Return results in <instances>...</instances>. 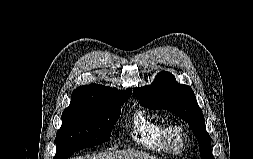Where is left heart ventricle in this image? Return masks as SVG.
<instances>
[{
    "mask_svg": "<svg viewBox=\"0 0 253 159\" xmlns=\"http://www.w3.org/2000/svg\"><path fill=\"white\" fill-rule=\"evenodd\" d=\"M175 144H176V145H178V142H177V141H175Z\"/></svg>",
    "mask_w": 253,
    "mask_h": 159,
    "instance_id": "b2bd125f",
    "label": "left heart ventricle"
}]
</instances>
